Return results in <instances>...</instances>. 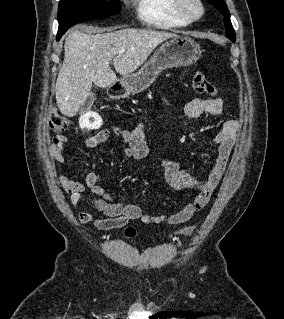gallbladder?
I'll list each match as a JSON object with an SVG mask.
<instances>
[{"instance_id": "1", "label": "gallbladder", "mask_w": 284, "mask_h": 319, "mask_svg": "<svg viewBox=\"0 0 284 319\" xmlns=\"http://www.w3.org/2000/svg\"><path fill=\"white\" fill-rule=\"evenodd\" d=\"M95 100H96L95 94H94V93H91V94L88 96V98H87V100L85 101V103H84V108H86V109L90 108V107L93 105V103H94Z\"/></svg>"}]
</instances>
